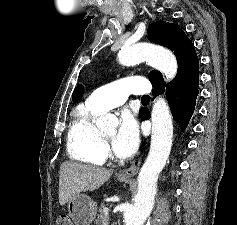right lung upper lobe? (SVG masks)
Here are the masks:
<instances>
[{"mask_svg":"<svg viewBox=\"0 0 237 225\" xmlns=\"http://www.w3.org/2000/svg\"><path fill=\"white\" fill-rule=\"evenodd\" d=\"M83 90H84V87L82 85H78L73 92L72 100L73 101L79 100L83 95Z\"/></svg>","mask_w":237,"mask_h":225,"instance_id":"obj_1","label":"right lung upper lobe"}]
</instances>
